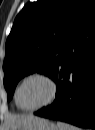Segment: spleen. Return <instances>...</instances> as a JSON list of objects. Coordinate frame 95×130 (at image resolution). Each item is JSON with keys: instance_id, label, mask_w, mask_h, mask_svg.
I'll use <instances>...</instances> for the list:
<instances>
[{"instance_id": "obj_1", "label": "spleen", "mask_w": 95, "mask_h": 130, "mask_svg": "<svg viewBox=\"0 0 95 130\" xmlns=\"http://www.w3.org/2000/svg\"><path fill=\"white\" fill-rule=\"evenodd\" d=\"M57 127L58 130H79L78 127L76 126L64 122H60V121L57 122Z\"/></svg>"}]
</instances>
